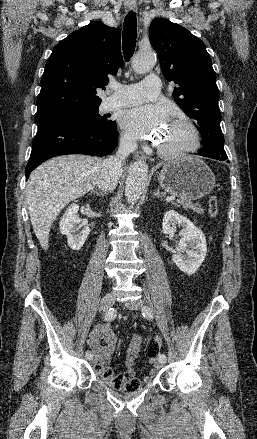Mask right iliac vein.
Here are the masks:
<instances>
[{
	"label": "right iliac vein",
	"instance_id": "right-iliac-vein-1",
	"mask_svg": "<svg viewBox=\"0 0 257 439\" xmlns=\"http://www.w3.org/2000/svg\"><path fill=\"white\" fill-rule=\"evenodd\" d=\"M115 303V295L113 293L106 294L101 299L100 309L101 311H108ZM92 361V359H89Z\"/></svg>",
	"mask_w": 257,
	"mask_h": 439
}]
</instances>
